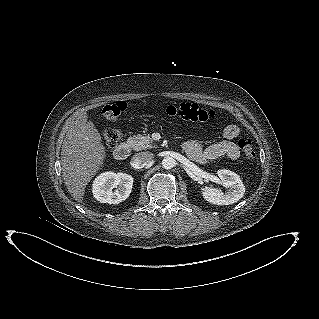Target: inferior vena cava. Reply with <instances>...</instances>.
I'll return each mask as SVG.
<instances>
[{"label":"inferior vena cava","instance_id":"obj_1","mask_svg":"<svg viewBox=\"0 0 319 319\" xmlns=\"http://www.w3.org/2000/svg\"><path fill=\"white\" fill-rule=\"evenodd\" d=\"M153 158L154 155L148 151L136 153L132 158V165L135 168H140L150 163Z\"/></svg>","mask_w":319,"mask_h":319}]
</instances>
